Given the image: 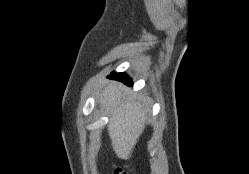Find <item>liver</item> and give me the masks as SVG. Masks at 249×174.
<instances>
[{
	"mask_svg": "<svg viewBox=\"0 0 249 174\" xmlns=\"http://www.w3.org/2000/svg\"><path fill=\"white\" fill-rule=\"evenodd\" d=\"M101 109L110 116L108 133L116 156L129 159L144 131L146 110L123 92L117 82H104L98 93Z\"/></svg>",
	"mask_w": 249,
	"mask_h": 174,
	"instance_id": "obj_1",
	"label": "liver"
}]
</instances>
